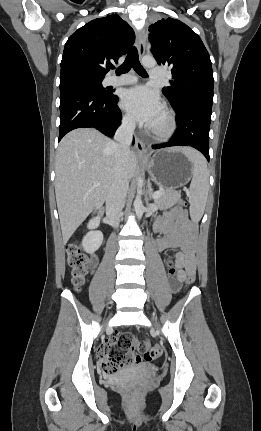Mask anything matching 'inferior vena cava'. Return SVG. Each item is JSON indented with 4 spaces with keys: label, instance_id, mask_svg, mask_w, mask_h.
<instances>
[{
    "label": "inferior vena cava",
    "instance_id": "602c4592",
    "mask_svg": "<svg viewBox=\"0 0 261 431\" xmlns=\"http://www.w3.org/2000/svg\"><path fill=\"white\" fill-rule=\"evenodd\" d=\"M135 125V120L132 117L125 118L114 136L116 141V177L106 198V214L114 228L118 227L120 223V217L128 191L129 182L124 174L123 166L126 156L130 152Z\"/></svg>",
    "mask_w": 261,
    "mask_h": 431
}]
</instances>
